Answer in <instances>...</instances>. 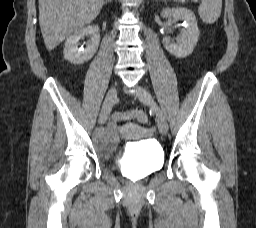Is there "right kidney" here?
I'll return each instance as SVG.
<instances>
[{"mask_svg":"<svg viewBox=\"0 0 256 228\" xmlns=\"http://www.w3.org/2000/svg\"><path fill=\"white\" fill-rule=\"evenodd\" d=\"M90 36V41L85 49H79V40L84 36ZM100 42L99 28L96 25H90L75 31L70 35L64 47V58L69 62L80 65L89 61L97 52Z\"/></svg>","mask_w":256,"mask_h":228,"instance_id":"ca27d5eb","label":"right kidney"}]
</instances>
